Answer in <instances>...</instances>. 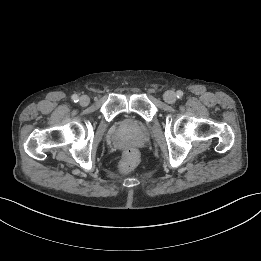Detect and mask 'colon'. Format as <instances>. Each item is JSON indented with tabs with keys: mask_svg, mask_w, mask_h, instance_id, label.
Here are the masks:
<instances>
[{
	"mask_svg": "<svg viewBox=\"0 0 261 261\" xmlns=\"http://www.w3.org/2000/svg\"><path fill=\"white\" fill-rule=\"evenodd\" d=\"M138 158V151L134 148H129L125 151L123 160L120 166L121 171L128 172L135 164Z\"/></svg>",
	"mask_w": 261,
	"mask_h": 261,
	"instance_id": "colon-1",
	"label": "colon"
}]
</instances>
